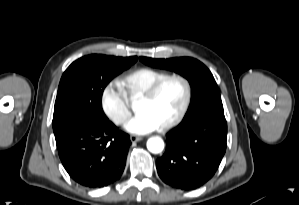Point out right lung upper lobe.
<instances>
[{
  "mask_svg": "<svg viewBox=\"0 0 299 205\" xmlns=\"http://www.w3.org/2000/svg\"><path fill=\"white\" fill-rule=\"evenodd\" d=\"M118 58H121V57H118ZM122 59H125V60H128V61H132V62H136L137 60V57H128V58H122Z\"/></svg>",
  "mask_w": 299,
  "mask_h": 205,
  "instance_id": "right-lung-upper-lobe-1",
  "label": "right lung upper lobe"
}]
</instances>
